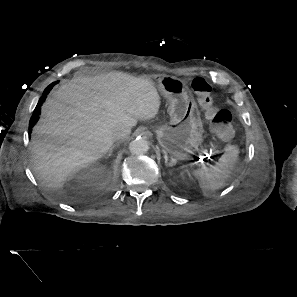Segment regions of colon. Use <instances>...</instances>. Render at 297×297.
Listing matches in <instances>:
<instances>
[{"label": "colon", "instance_id": "1", "mask_svg": "<svg viewBox=\"0 0 297 297\" xmlns=\"http://www.w3.org/2000/svg\"><path fill=\"white\" fill-rule=\"evenodd\" d=\"M191 86L203 113L211 121L213 133L220 139H230L233 135L230 111L214 105L211 86L205 79L195 78Z\"/></svg>", "mask_w": 297, "mask_h": 297}]
</instances>
